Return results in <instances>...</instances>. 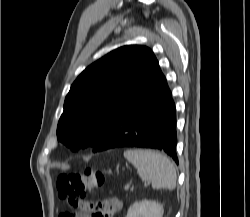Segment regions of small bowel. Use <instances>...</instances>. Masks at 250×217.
<instances>
[{"label": "small bowel", "mask_w": 250, "mask_h": 217, "mask_svg": "<svg viewBox=\"0 0 250 217\" xmlns=\"http://www.w3.org/2000/svg\"><path fill=\"white\" fill-rule=\"evenodd\" d=\"M102 205V217H113L116 213L120 212L123 203L119 198H110L100 202ZM76 211L73 217H89L87 214L80 212L79 208H74Z\"/></svg>", "instance_id": "1"}]
</instances>
